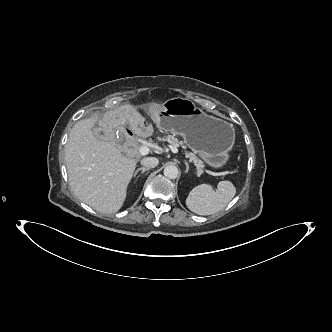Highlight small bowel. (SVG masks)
I'll use <instances>...</instances> for the list:
<instances>
[{
    "instance_id": "c3829d8e",
    "label": "small bowel",
    "mask_w": 332,
    "mask_h": 332,
    "mask_svg": "<svg viewBox=\"0 0 332 332\" xmlns=\"http://www.w3.org/2000/svg\"><path fill=\"white\" fill-rule=\"evenodd\" d=\"M148 113L152 117H157L161 113V108L157 104H152L148 108ZM112 112L109 109H100L98 112H92L89 115V122L92 125H99L101 122H109L112 119ZM133 130L135 134L141 137H148L153 133V127L151 125H147L144 121H138L133 124Z\"/></svg>"
}]
</instances>
